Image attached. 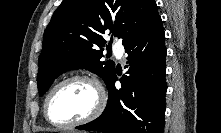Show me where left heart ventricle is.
<instances>
[{
	"label": "left heart ventricle",
	"mask_w": 221,
	"mask_h": 133,
	"mask_svg": "<svg viewBox=\"0 0 221 133\" xmlns=\"http://www.w3.org/2000/svg\"><path fill=\"white\" fill-rule=\"evenodd\" d=\"M97 94L92 84L72 81L60 86L48 103L49 117L58 123H68L88 115L94 108Z\"/></svg>",
	"instance_id": "1"
}]
</instances>
